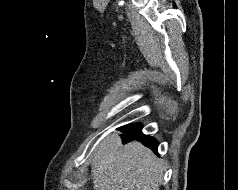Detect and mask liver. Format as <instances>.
<instances>
[{"mask_svg": "<svg viewBox=\"0 0 238 190\" xmlns=\"http://www.w3.org/2000/svg\"><path fill=\"white\" fill-rule=\"evenodd\" d=\"M163 163L135 141L122 145L119 132L96 148L92 163L95 190H159Z\"/></svg>", "mask_w": 238, "mask_h": 190, "instance_id": "liver-1", "label": "liver"}]
</instances>
